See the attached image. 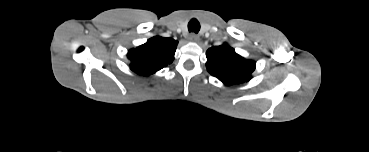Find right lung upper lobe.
Wrapping results in <instances>:
<instances>
[{
	"mask_svg": "<svg viewBox=\"0 0 369 152\" xmlns=\"http://www.w3.org/2000/svg\"><path fill=\"white\" fill-rule=\"evenodd\" d=\"M178 42L172 38L155 36L128 52L130 69L143 76L151 75L174 60Z\"/></svg>",
	"mask_w": 369,
	"mask_h": 152,
	"instance_id": "cb5924a9",
	"label": "right lung upper lobe"
}]
</instances>
